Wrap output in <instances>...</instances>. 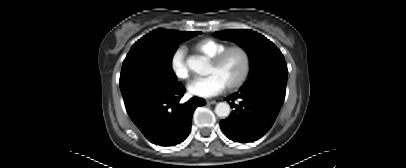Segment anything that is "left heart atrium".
<instances>
[{"instance_id": "1", "label": "left heart atrium", "mask_w": 406, "mask_h": 168, "mask_svg": "<svg viewBox=\"0 0 406 168\" xmlns=\"http://www.w3.org/2000/svg\"><path fill=\"white\" fill-rule=\"evenodd\" d=\"M187 88L193 96L209 98L220 94L225 89V85L216 75L211 74L204 78L194 79Z\"/></svg>"}]
</instances>
